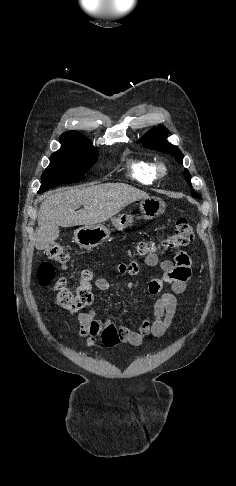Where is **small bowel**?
Instances as JSON below:
<instances>
[{"mask_svg":"<svg viewBox=\"0 0 236 486\" xmlns=\"http://www.w3.org/2000/svg\"><path fill=\"white\" fill-rule=\"evenodd\" d=\"M146 265L154 267L159 264L157 255H149L145 258ZM163 275L152 279L148 283V293L151 296H158L153 304V319H143L137 330L125 325H115L110 322H103L96 317L93 310L77 314L79 322V336L86 340L88 346L95 344L96 338L101 336L106 346H114L119 342L128 343L132 346L142 347L145 338L149 335L161 337L171 326L176 314L178 299L186 289V284L191 276V260L187 253L176 251L173 261L164 260L160 262ZM139 266L136 261L128 265L120 264L118 273L120 275L134 276L138 273ZM165 284L170 286L171 292L161 293ZM94 286L98 291L104 292L109 289V282L105 278H97ZM129 290L134 289L133 283H128Z\"/></svg>","mask_w":236,"mask_h":486,"instance_id":"small-bowel-1","label":"small bowel"}]
</instances>
